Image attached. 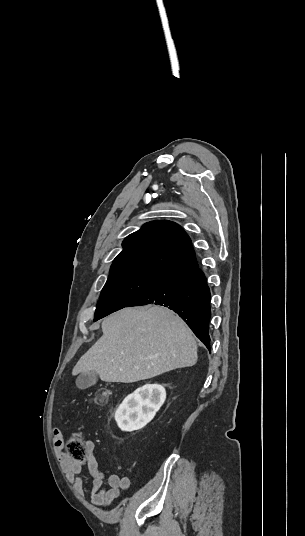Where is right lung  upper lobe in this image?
Wrapping results in <instances>:
<instances>
[{
    "mask_svg": "<svg viewBox=\"0 0 305 536\" xmlns=\"http://www.w3.org/2000/svg\"><path fill=\"white\" fill-rule=\"evenodd\" d=\"M109 277L120 275L168 276L197 263L188 235L171 221L146 223L122 243Z\"/></svg>",
    "mask_w": 305,
    "mask_h": 536,
    "instance_id": "obj_1",
    "label": "right lung upper lobe"
}]
</instances>
